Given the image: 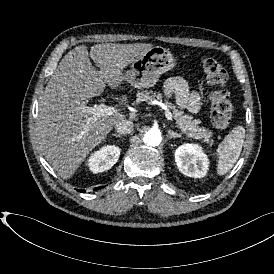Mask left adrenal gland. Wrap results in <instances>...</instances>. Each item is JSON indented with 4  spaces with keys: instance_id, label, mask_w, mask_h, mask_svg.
Listing matches in <instances>:
<instances>
[{
    "instance_id": "left-adrenal-gland-1",
    "label": "left adrenal gland",
    "mask_w": 274,
    "mask_h": 274,
    "mask_svg": "<svg viewBox=\"0 0 274 274\" xmlns=\"http://www.w3.org/2000/svg\"><path fill=\"white\" fill-rule=\"evenodd\" d=\"M167 137H169L170 139L181 138V136L178 133L172 132L171 130H168Z\"/></svg>"
}]
</instances>
